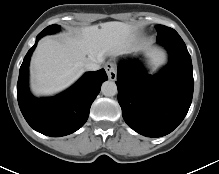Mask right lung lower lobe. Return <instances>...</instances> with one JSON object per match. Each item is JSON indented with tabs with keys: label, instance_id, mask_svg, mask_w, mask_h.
Wrapping results in <instances>:
<instances>
[{
	"label": "right lung lower lobe",
	"instance_id": "obj_1",
	"mask_svg": "<svg viewBox=\"0 0 219 174\" xmlns=\"http://www.w3.org/2000/svg\"><path fill=\"white\" fill-rule=\"evenodd\" d=\"M35 45L30 48L19 71L17 99L27 123L37 132L51 137L71 134L87 121L91 104L108 79L104 69L86 73L71 88L52 98H35L28 89V67Z\"/></svg>",
	"mask_w": 219,
	"mask_h": 174
}]
</instances>
